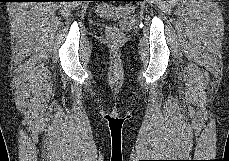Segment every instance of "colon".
<instances>
[{
    "instance_id": "obj_1",
    "label": "colon",
    "mask_w": 229,
    "mask_h": 161,
    "mask_svg": "<svg viewBox=\"0 0 229 161\" xmlns=\"http://www.w3.org/2000/svg\"><path fill=\"white\" fill-rule=\"evenodd\" d=\"M98 16L103 18H119L130 15L133 7L129 5H111L106 3L98 4L95 8ZM108 40L113 45H118L122 39V32L113 26L107 28Z\"/></svg>"
}]
</instances>
